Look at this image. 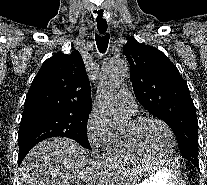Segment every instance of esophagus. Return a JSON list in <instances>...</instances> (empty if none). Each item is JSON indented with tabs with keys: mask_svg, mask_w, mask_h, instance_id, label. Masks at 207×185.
Here are the masks:
<instances>
[{
	"mask_svg": "<svg viewBox=\"0 0 207 185\" xmlns=\"http://www.w3.org/2000/svg\"><path fill=\"white\" fill-rule=\"evenodd\" d=\"M95 14H106V9H95ZM95 23L99 25V30H108L109 21L106 15H95Z\"/></svg>",
	"mask_w": 207,
	"mask_h": 185,
	"instance_id": "1",
	"label": "esophagus"
}]
</instances>
